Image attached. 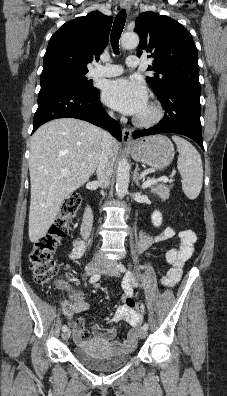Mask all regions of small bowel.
I'll return each instance as SVG.
<instances>
[{
  "mask_svg": "<svg viewBox=\"0 0 227 396\" xmlns=\"http://www.w3.org/2000/svg\"><path fill=\"white\" fill-rule=\"evenodd\" d=\"M173 237L178 238V246L169 249L166 253V261L170 265V268L162 279V284L168 287L174 286L180 280L182 268L192 256L194 243L196 242L195 233L192 230L177 232L175 229L167 227L157 234L142 232L139 241V249L145 250L155 242L165 241ZM84 249L85 247L82 241H75L70 257L72 259H79L83 255ZM64 287L68 290L69 297L74 302L70 312L67 314L68 317L72 318L88 310L89 304L82 292L73 289L67 284H64ZM133 288L134 283L132 279L124 282L123 303L116 309L112 320L114 322L125 321L136 328L143 321V315L127 304L129 299H133ZM116 333L117 330L115 327L101 328L95 325L88 330L85 328L83 319L81 318L77 320L73 328L74 340L79 344L93 342L100 345H107L113 350L130 349L135 345L137 337L135 330H131L123 341L115 340Z\"/></svg>",
  "mask_w": 227,
  "mask_h": 396,
  "instance_id": "small-bowel-1",
  "label": "small bowel"
}]
</instances>
